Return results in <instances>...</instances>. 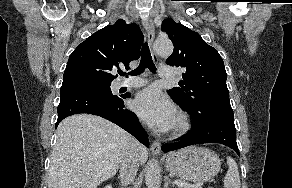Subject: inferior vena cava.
<instances>
[{
    "mask_svg": "<svg viewBox=\"0 0 292 188\" xmlns=\"http://www.w3.org/2000/svg\"><path fill=\"white\" fill-rule=\"evenodd\" d=\"M141 145L133 140L127 154L120 165V180L122 186H128L133 182L138 171Z\"/></svg>",
    "mask_w": 292,
    "mask_h": 188,
    "instance_id": "1",
    "label": "inferior vena cava"
}]
</instances>
